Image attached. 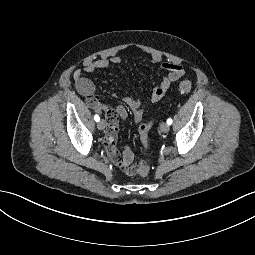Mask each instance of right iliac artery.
<instances>
[{
  "mask_svg": "<svg viewBox=\"0 0 255 255\" xmlns=\"http://www.w3.org/2000/svg\"><path fill=\"white\" fill-rule=\"evenodd\" d=\"M94 119H95L96 122H98V121L100 120V117L96 114V115L94 116Z\"/></svg>",
  "mask_w": 255,
  "mask_h": 255,
  "instance_id": "obj_1",
  "label": "right iliac artery"
}]
</instances>
